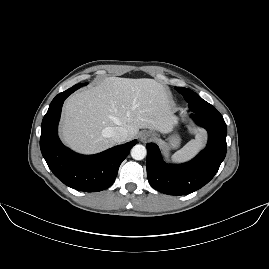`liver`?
Returning a JSON list of instances; mask_svg holds the SVG:
<instances>
[{
    "label": "liver",
    "instance_id": "obj_1",
    "mask_svg": "<svg viewBox=\"0 0 269 269\" xmlns=\"http://www.w3.org/2000/svg\"><path fill=\"white\" fill-rule=\"evenodd\" d=\"M173 105L170 92L154 79L107 77L66 100L61 137L73 150L92 154L116 144L111 137L115 127L127 129V141L141 128L168 133Z\"/></svg>",
    "mask_w": 269,
    "mask_h": 269
}]
</instances>
